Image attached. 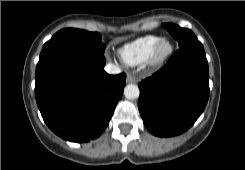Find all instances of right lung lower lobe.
<instances>
[{
	"label": "right lung lower lobe",
	"mask_w": 245,
	"mask_h": 170,
	"mask_svg": "<svg viewBox=\"0 0 245 170\" xmlns=\"http://www.w3.org/2000/svg\"><path fill=\"white\" fill-rule=\"evenodd\" d=\"M103 54L62 52L36 69L35 96L48 127L72 142L96 139L122 97L126 75H108Z\"/></svg>",
	"instance_id": "98d812e1"
}]
</instances>
